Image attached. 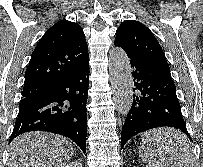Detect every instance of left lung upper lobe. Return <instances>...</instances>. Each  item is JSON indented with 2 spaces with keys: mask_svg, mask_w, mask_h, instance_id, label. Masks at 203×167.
Instances as JSON below:
<instances>
[{
  "mask_svg": "<svg viewBox=\"0 0 203 167\" xmlns=\"http://www.w3.org/2000/svg\"><path fill=\"white\" fill-rule=\"evenodd\" d=\"M115 45L152 65L170 70L164 52L154 34L135 20L122 22L116 31Z\"/></svg>",
  "mask_w": 203,
  "mask_h": 167,
  "instance_id": "5c2ea615",
  "label": "left lung upper lobe"
}]
</instances>
